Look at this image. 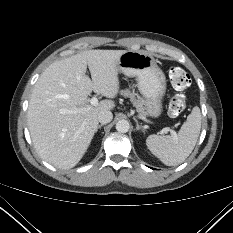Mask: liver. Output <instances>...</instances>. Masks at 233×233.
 <instances>
[{"label":"liver","mask_w":233,"mask_h":233,"mask_svg":"<svg viewBox=\"0 0 233 233\" xmlns=\"http://www.w3.org/2000/svg\"><path fill=\"white\" fill-rule=\"evenodd\" d=\"M125 52L89 50L55 61L44 70L28 107V128L43 160L60 169H70L81 160L98 128L99 113L115 108L110 99L119 90L117 65ZM92 91L110 99L85 109Z\"/></svg>","instance_id":"liver-1"}]
</instances>
